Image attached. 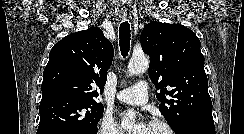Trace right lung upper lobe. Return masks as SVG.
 <instances>
[{
  "instance_id": "cb5924a9",
  "label": "right lung upper lobe",
  "mask_w": 244,
  "mask_h": 134,
  "mask_svg": "<svg viewBox=\"0 0 244 134\" xmlns=\"http://www.w3.org/2000/svg\"><path fill=\"white\" fill-rule=\"evenodd\" d=\"M113 54L112 44L98 27L64 37L49 53L41 102L57 97L96 102Z\"/></svg>"
}]
</instances>
